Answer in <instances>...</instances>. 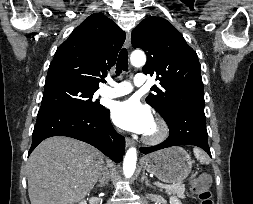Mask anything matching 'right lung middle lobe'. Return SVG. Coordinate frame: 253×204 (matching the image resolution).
I'll list each match as a JSON object with an SVG mask.
<instances>
[{
  "label": "right lung middle lobe",
  "mask_w": 253,
  "mask_h": 204,
  "mask_svg": "<svg viewBox=\"0 0 253 204\" xmlns=\"http://www.w3.org/2000/svg\"><path fill=\"white\" fill-rule=\"evenodd\" d=\"M96 90L70 82L45 84L40 110L69 109L97 114L104 107L93 99Z\"/></svg>",
  "instance_id": "dd1d6c3e"
}]
</instances>
